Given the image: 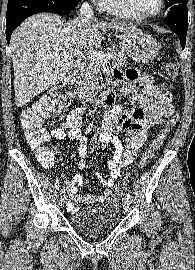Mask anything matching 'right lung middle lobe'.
<instances>
[{
    "mask_svg": "<svg viewBox=\"0 0 195 270\" xmlns=\"http://www.w3.org/2000/svg\"><path fill=\"white\" fill-rule=\"evenodd\" d=\"M55 1L59 2V4L55 9V13L59 15L68 14L77 5V3L75 2H71L72 0H55Z\"/></svg>",
    "mask_w": 195,
    "mask_h": 270,
    "instance_id": "obj_1",
    "label": "right lung middle lobe"
}]
</instances>
